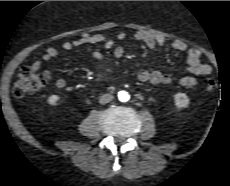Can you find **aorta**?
I'll return each mask as SVG.
<instances>
[{"instance_id": "1", "label": "aorta", "mask_w": 230, "mask_h": 186, "mask_svg": "<svg viewBox=\"0 0 230 186\" xmlns=\"http://www.w3.org/2000/svg\"><path fill=\"white\" fill-rule=\"evenodd\" d=\"M118 99L120 102H127L130 99V95L126 91H119L118 92Z\"/></svg>"}]
</instances>
